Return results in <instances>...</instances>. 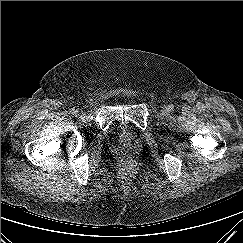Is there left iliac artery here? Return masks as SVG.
<instances>
[{
	"mask_svg": "<svg viewBox=\"0 0 243 243\" xmlns=\"http://www.w3.org/2000/svg\"><path fill=\"white\" fill-rule=\"evenodd\" d=\"M168 107H169L170 111H172L174 109V106L172 104H170Z\"/></svg>",
	"mask_w": 243,
	"mask_h": 243,
	"instance_id": "1",
	"label": "left iliac artery"
}]
</instances>
